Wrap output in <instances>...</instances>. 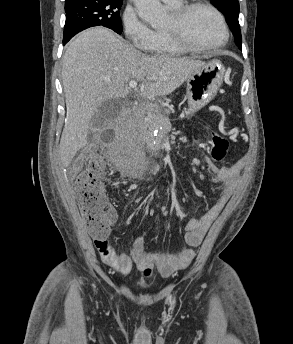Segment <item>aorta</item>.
Returning a JSON list of instances; mask_svg holds the SVG:
<instances>
[{
  "mask_svg": "<svg viewBox=\"0 0 293 344\" xmlns=\"http://www.w3.org/2000/svg\"><path fill=\"white\" fill-rule=\"evenodd\" d=\"M139 17L152 27L162 26L167 19V11L159 0H134Z\"/></svg>",
  "mask_w": 293,
  "mask_h": 344,
  "instance_id": "1",
  "label": "aorta"
}]
</instances>
